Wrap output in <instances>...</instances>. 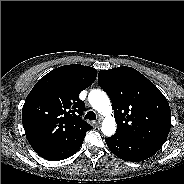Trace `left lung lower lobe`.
<instances>
[{"label":"left lung lower lobe","mask_w":184,"mask_h":184,"mask_svg":"<svg viewBox=\"0 0 184 184\" xmlns=\"http://www.w3.org/2000/svg\"><path fill=\"white\" fill-rule=\"evenodd\" d=\"M105 141L111 152L125 161H143L156 153V151L148 146L133 141L119 133H115L112 137L105 138Z\"/></svg>","instance_id":"1"}]
</instances>
